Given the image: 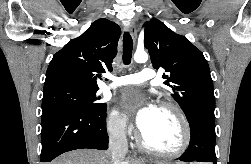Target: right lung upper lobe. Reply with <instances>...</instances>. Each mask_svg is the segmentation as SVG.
Segmentation results:
<instances>
[{
    "label": "right lung upper lobe",
    "instance_id": "right-lung-upper-lobe-1",
    "mask_svg": "<svg viewBox=\"0 0 251 164\" xmlns=\"http://www.w3.org/2000/svg\"><path fill=\"white\" fill-rule=\"evenodd\" d=\"M120 34V27L112 21L101 18L93 22L53 56L44 91L59 87L98 90L97 78L107 70L112 71Z\"/></svg>",
    "mask_w": 251,
    "mask_h": 164
}]
</instances>
